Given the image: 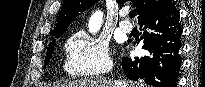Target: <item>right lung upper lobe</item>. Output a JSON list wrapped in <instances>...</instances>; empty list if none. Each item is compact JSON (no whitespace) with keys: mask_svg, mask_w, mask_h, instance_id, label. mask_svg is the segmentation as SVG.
Wrapping results in <instances>:
<instances>
[{"mask_svg":"<svg viewBox=\"0 0 205 87\" xmlns=\"http://www.w3.org/2000/svg\"><path fill=\"white\" fill-rule=\"evenodd\" d=\"M118 4L124 3L128 0H116ZM164 0H134L136 3L137 14L139 15L138 20L147 12L154 9L156 6L161 4ZM98 0H64L63 5L59 14L57 25L51 34L59 37L66 30L70 22L79 15L80 12L94 5ZM52 44V43H51ZM50 44V45H51ZM49 45V46H50Z\"/></svg>","mask_w":205,"mask_h":87,"instance_id":"right-lung-upper-lobe-1","label":"right lung upper lobe"}]
</instances>
